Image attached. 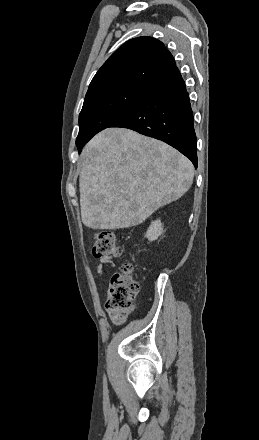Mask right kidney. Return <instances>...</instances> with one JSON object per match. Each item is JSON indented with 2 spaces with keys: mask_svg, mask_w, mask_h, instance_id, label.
<instances>
[{
  "mask_svg": "<svg viewBox=\"0 0 259 440\" xmlns=\"http://www.w3.org/2000/svg\"><path fill=\"white\" fill-rule=\"evenodd\" d=\"M162 233H163V224L161 223L160 220H156L152 222L149 228L147 229L145 237L149 241H154L158 239V237L162 235Z\"/></svg>",
  "mask_w": 259,
  "mask_h": 440,
  "instance_id": "ca27d5eb",
  "label": "right kidney"
}]
</instances>
